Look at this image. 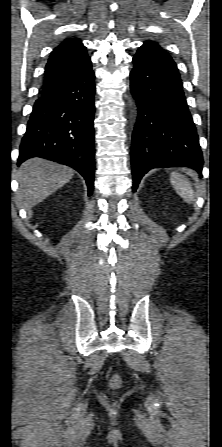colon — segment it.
Instances as JSON below:
<instances>
[{
	"instance_id": "5ec220e1",
	"label": "colon",
	"mask_w": 222,
	"mask_h": 447,
	"mask_svg": "<svg viewBox=\"0 0 222 447\" xmlns=\"http://www.w3.org/2000/svg\"><path fill=\"white\" fill-rule=\"evenodd\" d=\"M121 385V379L119 376L114 375L110 380V386L113 389L118 388Z\"/></svg>"
}]
</instances>
